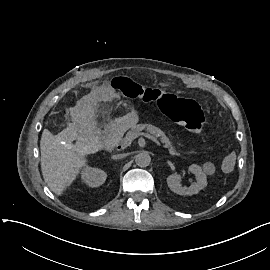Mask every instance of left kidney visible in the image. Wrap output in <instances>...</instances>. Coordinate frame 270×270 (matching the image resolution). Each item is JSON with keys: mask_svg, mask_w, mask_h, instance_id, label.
<instances>
[{"mask_svg": "<svg viewBox=\"0 0 270 270\" xmlns=\"http://www.w3.org/2000/svg\"><path fill=\"white\" fill-rule=\"evenodd\" d=\"M189 171L195 174L197 183L192 184L190 187H182L180 184L181 176L172 174L167 178V184L171 191L179 195H193L207 186L206 174L199 165L192 164L189 166Z\"/></svg>", "mask_w": 270, "mask_h": 270, "instance_id": "5707ae66", "label": "left kidney"}]
</instances>
